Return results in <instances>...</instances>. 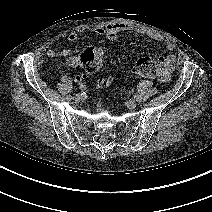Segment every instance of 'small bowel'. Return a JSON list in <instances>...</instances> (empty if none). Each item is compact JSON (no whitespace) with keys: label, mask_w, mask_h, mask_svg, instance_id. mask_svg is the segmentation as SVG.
<instances>
[{"label":"small bowel","mask_w":212,"mask_h":212,"mask_svg":"<svg viewBox=\"0 0 212 212\" xmlns=\"http://www.w3.org/2000/svg\"><path fill=\"white\" fill-rule=\"evenodd\" d=\"M92 31L97 35L105 36L110 41H116L121 32L130 31L138 34H142L147 36L148 38L161 42L164 44L165 48L169 51L174 50L175 45L173 42L167 40L163 35L155 30H151L148 28L139 27L130 23H109L106 25H98L92 28ZM78 39V35L76 33H71L68 36V40L70 42H75ZM76 50L70 48L64 49H54L51 48L48 50L47 54L49 57H66L75 53ZM162 70L161 75L159 77L160 82H167L170 77V72L175 64L174 55L170 54L165 57H162ZM75 81L82 87H84L88 81V76L81 74L75 77Z\"/></svg>","instance_id":"small-bowel-1"}]
</instances>
